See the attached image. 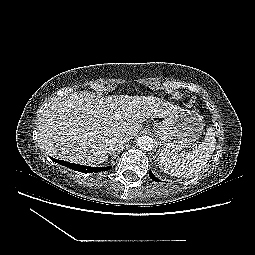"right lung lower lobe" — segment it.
Instances as JSON below:
<instances>
[{
  "label": "right lung lower lobe",
  "mask_w": 255,
  "mask_h": 255,
  "mask_svg": "<svg viewBox=\"0 0 255 255\" xmlns=\"http://www.w3.org/2000/svg\"><path fill=\"white\" fill-rule=\"evenodd\" d=\"M51 158V157H50ZM52 161L59 163L60 165L69 167L75 171L82 172V173H97L101 171H107L112 168V166H107V167H90V166H84V165H79V164H73L70 162L62 161V160H57L55 158H51Z\"/></svg>",
  "instance_id": "98d812e1"
}]
</instances>
